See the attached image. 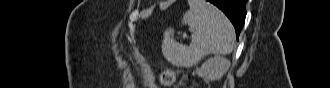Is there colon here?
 <instances>
[{
	"mask_svg": "<svg viewBox=\"0 0 330 88\" xmlns=\"http://www.w3.org/2000/svg\"><path fill=\"white\" fill-rule=\"evenodd\" d=\"M160 80L163 85L168 86L174 81V73L170 69H165L161 74Z\"/></svg>",
	"mask_w": 330,
	"mask_h": 88,
	"instance_id": "obj_1",
	"label": "colon"
}]
</instances>
